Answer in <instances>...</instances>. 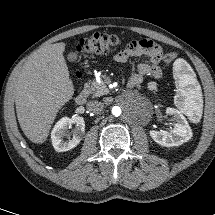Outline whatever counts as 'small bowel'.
Masks as SVG:
<instances>
[{
  "label": "small bowel",
  "mask_w": 215,
  "mask_h": 215,
  "mask_svg": "<svg viewBox=\"0 0 215 215\" xmlns=\"http://www.w3.org/2000/svg\"><path fill=\"white\" fill-rule=\"evenodd\" d=\"M146 56L149 63H140L137 71L132 75L129 85L134 87L142 83L145 75H150L156 79L161 78L162 69L160 62L163 54L159 45L149 39L132 41L127 47L114 55V60L118 63H125L132 57Z\"/></svg>",
  "instance_id": "1"
}]
</instances>
